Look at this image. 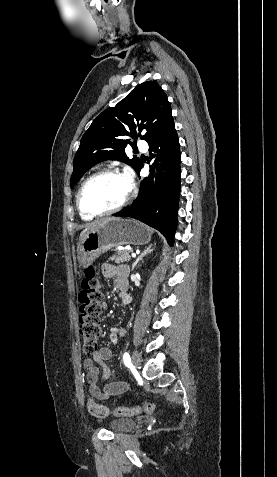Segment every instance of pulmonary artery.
<instances>
[{"label":"pulmonary artery","instance_id":"1","mask_svg":"<svg viewBox=\"0 0 277 477\" xmlns=\"http://www.w3.org/2000/svg\"><path fill=\"white\" fill-rule=\"evenodd\" d=\"M138 148L141 150V151H147L148 150V144L145 142V141H139L138 142Z\"/></svg>","mask_w":277,"mask_h":477}]
</instances>
